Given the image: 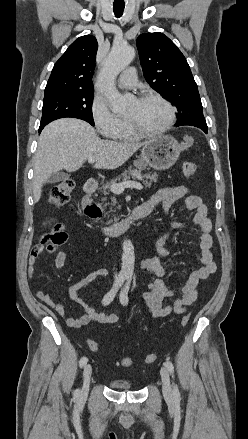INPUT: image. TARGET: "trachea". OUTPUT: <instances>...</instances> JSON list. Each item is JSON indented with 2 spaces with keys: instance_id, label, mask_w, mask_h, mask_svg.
<instances>
[{
  "instance_id": "obj_1",
  "label": "trachea",
  "mask_w": 248,
  "mask_h": 439,
  "mask_svg": "<svg viewBox=\"0 0 248 439\" xmlns=\"http://www.w3.org/2000/svg\"><path fill=\"white\" fill-rule=\"evenodd\" d=\"M125 5H113L114 14L117 18L121 17L124 11Z\"/></svg>"
}]
</instances>
